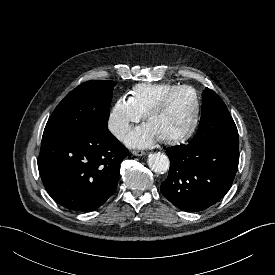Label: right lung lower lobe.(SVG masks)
I'll list each match as a JSON object with an SVG mask.
<instances>
[{
    "label": "right lung lower lobe",
    "mask_w": 275,
    "mask_h": 275,
    "mask_svg": "<svg viewBox=\"0 0 275 275\" xmlns=\"http://www.w3.org/2000/svg\"><path fill=\"white\" fill-rule=\"evenodd\" d=\"M128 149L103 128L81 135L42 137L38 169L54 201L72 211H92L117 188Z\"/></svg>",
    "instance_id": "98d812e1"
}]
</instances>
